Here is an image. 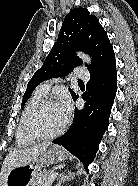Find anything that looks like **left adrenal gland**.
<instances>
[{
  "instance_id": "1",
  "label": "left adrenal gland",
  "mask_w": 138,
  "mask_h": 186,
  "mask_svg": "<svg viewBox=\"0 0 138 186\" xmlns=\"http://www.w3.org/2000/svg\"><path fill=\"white\" fill-rule=\"evenodd\" d=\"M73 173H61L58 177V182L56 184V186H60L62 182L66 181L69 179V177H72Z\"/></svg>"
}]
</instances>
